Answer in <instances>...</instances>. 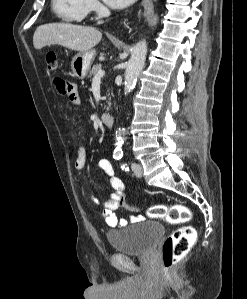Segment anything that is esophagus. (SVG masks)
I'll return each instance as SVG.
<instances>
[{"label": "esophagus", "mask_w": 247, "mask_h": 299, "mask_svg": "<svg viewBox=\"0 0 247 299\" xmlns=\"http://www.w3.org/2000/svg\"><path fill=\"white\" fill-rule=\"evenodd\" d=\"M142 3H143V5L146 9H152L153 8V4H152L151 0H143Z\"/></svg>", "instance_id": "obj_1"}]
</instances>
